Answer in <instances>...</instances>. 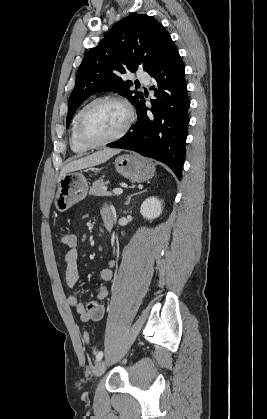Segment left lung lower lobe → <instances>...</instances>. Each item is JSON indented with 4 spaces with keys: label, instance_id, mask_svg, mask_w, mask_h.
Returning a JSON list of instances; mask_svg holds the SVG:
<instances>
[{
    "label": "left lung lower lobe",
    "instance_id": "obj_1",
    "mask_svg": "<svg viewBox=\"0 0 267 419\" xmlns=\"http://www.w3.org/2000/svg\"><path fill=\"white\" fill-rule=\"evenodd\" d=\"M158 89L152 108L144 96L137 103V123L111 148L129 149L165 163L180 180L184 163L190 100L185 81V66L172 39L159 62L148 72Z\"/></svg>",
    "mask_w": 267,
    "mask_h": 419
}]
</instances>
